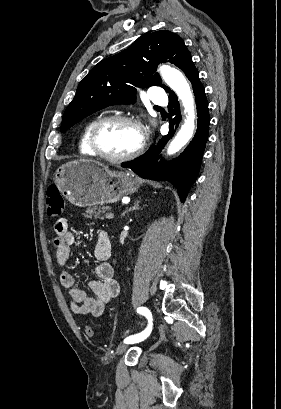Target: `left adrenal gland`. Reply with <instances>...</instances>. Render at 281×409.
<instances>
[{"mask_svg":"<svg viewBox=\"0 0 281 409\" xmlns=\"http://www.w3.org/2000/svg\"><path fill=\"white\" fill-rule=\"evenodd\" d=\"M139 202H140V200H135L133 207H130V209H128V211H124V213H122L121 217H125L126 213H129V211H138V209H140Z\"/></svg>","mask_w":281,"mask_h":409,"instance_id":"1","label":"left adrenal gland"}]
</instances>
